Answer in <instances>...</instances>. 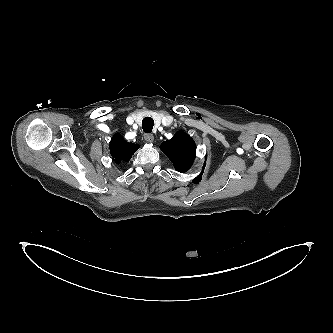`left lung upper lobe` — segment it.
Returning a JSON list of instances; mask_svg holds the SVG:
<instances>
[{"label": "left lung upper lobe", "instance_id": "5c2ea615", "mask_svg": "<svg viewBox=\"0 0 333 333\" xmlns=\"http://www.w3.org/2000/svg\"><path fill=\"white\" fill-rule=\"evenodd\" d=\"M160 148L169 157L177 171L184 173L190 169L196 150L193 139L185 132H176L173 138L164 141Z\"/></svg>", "mask_w": 333, "mask_h": 333}]
</instances>
